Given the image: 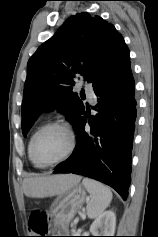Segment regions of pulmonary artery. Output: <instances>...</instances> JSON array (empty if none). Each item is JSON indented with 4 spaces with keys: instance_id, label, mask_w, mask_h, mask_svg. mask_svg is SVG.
Here are the masks:
<instances>
[{
    "instance_id": "e3ab8cb5",
    "label": "pulmonary artery",
    "mask_w": 158,
    "mask_h": 237,
    "mask_svg": "<svg viewBox=\"0 0 158 237\" xmlns=\"http://www.w3.org/2000/svg\"><path fill=\"white\" fill-rule=\"evenodd\" d=\"M86 91H88L89 94H90L91 96H93V90H92L91 87H87Z\"/></svg>"
}]
</instances>
